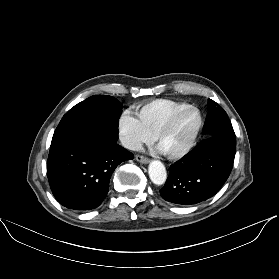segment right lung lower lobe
<instances>
[{"mask_svg": "<svg viewBox=\"0 0 279 279\" xmlns=\"http://www.w3.org/2000/svg\"><path fill=\"white\" fill-rule=\"evenodd\" d=\"M117 140V127L105 124L51 143L47 175L60 204L73 210L101 204L115 168L134 158Z\"/></svg>", "mask_w": 279, "mask_h": 279, "instance_id": "right-lung-lower-lobe-1", "label": "right lung lower lobe"}]
</instances>
